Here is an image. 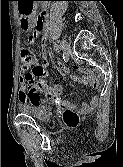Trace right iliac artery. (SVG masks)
I'll return each instance as SVG.
<instances>
[{"label":"right iliac artery","instance_id":"82829eb1","mask_svg":"<svg viewBox=\"0 0 123 167\" xmlns=\"http://www.w3.org/2000/svg\"><path fill=\"white\" fill-rule=\"evenodd\" d=\"M54 50H55L56 52H59V51H60V46L57 45V44H55V45H54Z\"/></svg>","mask_w":123,"mask_h":167}]
</instances>
